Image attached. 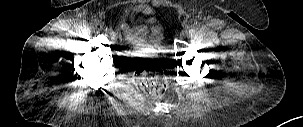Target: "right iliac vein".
Masks as SVG:
<instances>
[{"label": "right iliac vein", "instance_id": "1", "mask_svg": "<svg viewBox=\"0 0 303 127\" xmlns=\"http://www.w3.org/2000/svg\"><path fill=\"white\" fill-rule=\"evenodd\" d=\"M98 26H99L100 28L104 29V30H107V28H106V27L104 26V24H102V23H99Z\"/></svg>", "mask_w": 303, "mask_h": 127}]
</instances>
